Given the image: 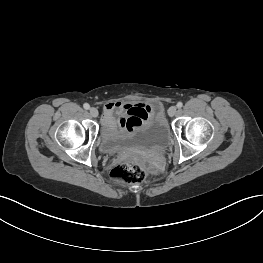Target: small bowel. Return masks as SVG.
<instances>
[{"label": "small bowel", "instance_id": "1", "mask_svg": "<svg viewBox=\"0 0 263 263\" xmlns=\"http://www.w3.org/2000/svg\"><path fill=\"white\" fill-rule=\"evenodd\" d=\"M115 115H118L116 118ZM148 115V105L143 103L124 104L121 102H111L104 106L103 122L106 126L113 127L116 124L126 130L132 131ZM155 162L161 165L164 158L158 155Z\"/></svg>", "mask_w": 263, "mask_h": 263}]
</instances>
